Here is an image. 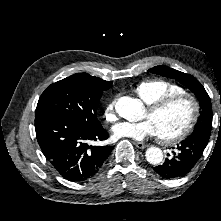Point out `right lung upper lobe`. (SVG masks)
Instances as JSON below:
<instances>
[{
	"label": "right lung upper lobe",
	"mask_w": 221,
	"mask_h": 221,
	"mask_svg": "<svg viewBox=\"0 0 221 221\" xmlns=\"http://www.w3.org/2000/svg\"><path fill=\"white\" fill-rule=\"evenodd\" d=\"M74 76H78V77H82V78H87L89 80L97 82L98 84H101L104 87L112 86L111 85L112 82L102 80V79H100L98 77L90 76L89 74H86V73H78V74H74Z\"/></svg>",
	"instance_id": "cb5924a9"
}]
</instances>
